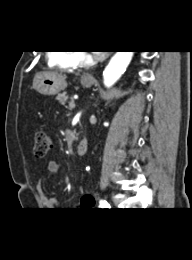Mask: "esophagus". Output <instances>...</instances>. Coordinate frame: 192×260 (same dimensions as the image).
Segmentation results:
<instances>
[{
  "label": "esophagus",
  "instance_id": "obj_1",
  "mask_svg": "<svg viewBox=\"0 0 192 260\" xmlns=\"http://www.w3.org/2000/svg\"><path fill=\"white\" fill-rule=\"evenodd\" d=\"M84 78L88 80H94V73L85 74Z\"/></svg>",
  "mask_w": 192,
  "mask_h": 260
}]
</instances>
